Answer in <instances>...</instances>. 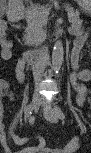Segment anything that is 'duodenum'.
<instances>
[{
    "instance_id": "1",
    "label": "duodenum",
    "mask_w": 91,
    "mask_h": 153,
    "mask_svg": "<svg viewBox=\"0 0 91 153\" xmlns=\"http://www.w3.org/2000/svg\"><path fill=\"white\" fill-rule=\"evenodd\" d=\"M23 16V13L21 12H14L13 17L17 19H21ZM50 51V47H43L40 49H31V50H24L22 52V57L24 60H26L29 63H36L40 61H44L47 58V55Z\"/></svg>"
}]
</instances>
